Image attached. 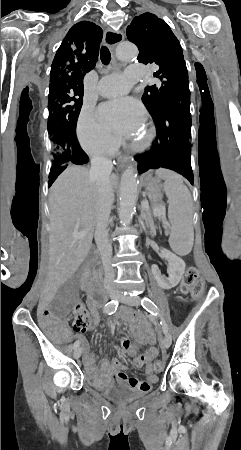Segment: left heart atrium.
Returning <instances> with one entry per match:
<instances>
[{"instance_id": "left-heart-atrium-1", "label": "left heart atrium", "mask_w": 241, "mask_h": 450, "mask_svg": "<svg viewBox=\"0 0 241 450\" xmlns=\"http://www.w3.org/2000/svg\"><path fill=\"white\" fill-rule=\"evenodd\" d=\"M99 121L110 131L128 136L144 120L142 107L133 99L124 98L118 102H106L97 109Z\"/></svg>"}]
</instances>
